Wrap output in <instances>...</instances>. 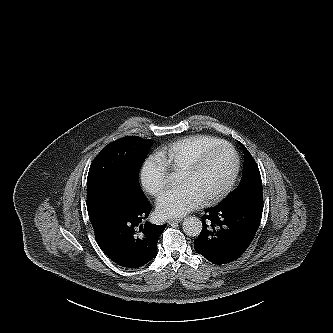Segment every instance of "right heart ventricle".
I'll return each mask as SVG.
<instances>
[{"label": "right heart ventricle", "mask_w": 333, "mask_h": 333, "mask_svg": "<svg viewBox=\"0 0 333 333\" xmlns=\"http://www.w3.org/2000/svg\"><path fill=\"white\" fill-rule=\"evenodd\" d=\"M222 140L210 135H192L176 140L159 150V155L168 168L179 172L203 150Z\"/></svg>", "instance_id": "obj_1"}]
</instances>
